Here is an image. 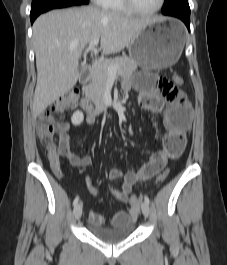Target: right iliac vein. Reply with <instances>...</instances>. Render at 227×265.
Masks as SVG:
<instances>
[{"mask_svg": "<svg viewBox=\"0 0 227 265\" xmlns=\"http://www.w3.org/2000/svg\"><path fill=\"white\" fill-rule=\"evenodd\" d=\"M82 210H83V205L82 203H78L75 207H74V217L75 219L79 220L81 215H82Z\"/></svg>", "mask_w": 227, "mask_h": 265, "instance_id": "63e3f726", "label": "right iliac vein"}]
</instances>
